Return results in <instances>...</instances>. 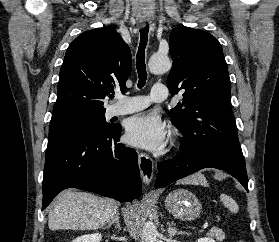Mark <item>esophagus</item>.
<instances>
[{"mask_svg":"<svg viewBox=\"0 0 279 242\" xmlns=\"http://www.w3.org/2000/svg\"><path fill=\"white\" fill-rule=\"evenodd\" d=\"M145 23V21H141L142 26H144ZM138 164L143 183L146 185L150 184L154 172V163L152 158L145 153H139Z\"/></svg>","mask_w":279,"mask_h":242,"instance_id":"obj_1","label":"esophagus"}]
</instances>
